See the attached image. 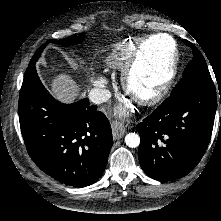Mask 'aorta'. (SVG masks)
<instances>
[{"label":"aorta","instance_id":"762f6f07","mask_svg":"<svg viewBox=\"0 0 221 221\" xmlns=\"http://www.w3.org/2000/svg\"><path fill=\"white\" fill-rule=\"evenodd\" d=\"M125 143L128 147L130 148H136L139 146L140 144V137L138 134L136 133H128L126 136H125Z\"/></svg>","mask_w":221,"mask_h":221}]
</instances>
